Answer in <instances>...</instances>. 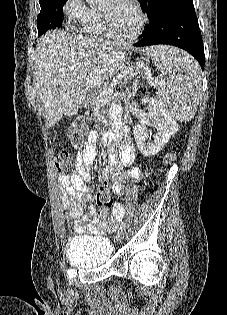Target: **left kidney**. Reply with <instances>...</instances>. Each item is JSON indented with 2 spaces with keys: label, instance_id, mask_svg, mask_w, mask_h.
Returning <instances> with one entry per match:
<instances>
[{
  "label": "left kidney",
  "instance_id": "obj_1",
  "mask_svg": "<svg viewBox=\"0 0 227 315\" xmlns=\"http://www.w3.org/2000/svg\"><path fill=\"white\" fill-rule=\"evenodd\" d=\"M142 104H148V120L156 129L153 137L149 136L144 125L134 127L136 144L145 156H154L160 152L171 136L179 130V125L172 115L165 110L157 99L142 98Z\"/></svg>",
  "mask_w": 227,
  "mask_h": 315
}]
</instances>
